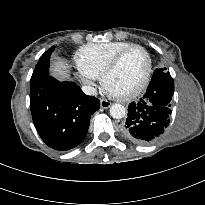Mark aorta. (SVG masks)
<instances>
[{
  "mask_svg": "<svg viewBox=\"0 0 205 205\" xmlns=\"http://www.w3.org/2000/svg\"><path fill=\"white\" fill-rule=\"evenodd\" d=\"M110 115L114 119H121L126 115V109L121 104H113L110 107Z\"/></svg>",
  "mask_w": 205,
  "mask_h": 205,
  "instance_id": "aorta-1",
  "label": "aorta"
}]
</instances>
